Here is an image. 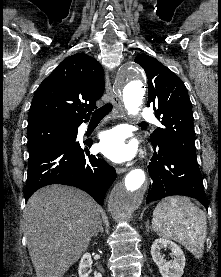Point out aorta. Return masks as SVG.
Returning a JSON list of instances; mask_svg holds the SVG:
<instances>
[{
  "instance_id": "762f6f07",
  "label": "aorta",
  "mask_w": 221,
  "mask_h": 277,
  "mask_svg": "<svg viewBox=\"0 0 221 277\" xmlns=\"http://www.w3.org/2000/svg\"><path fill=\"white\" fill-rule=\"evenodd\" d=\"M117 89L123 97L128 114L136 116L145 95L144 70L136 64L122 66L118 73ZM146 187L145 172L136 168L113 188L108 199V209L117 222H126L138 209Z\"/></svg>"
}]
</instances>
